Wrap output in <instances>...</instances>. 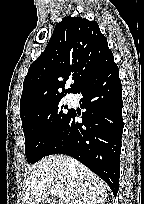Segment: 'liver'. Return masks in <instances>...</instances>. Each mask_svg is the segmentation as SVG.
Returning <instances> with one entry per match:
<instances>
[{
    "mask_svg": "<svg viewBox=\"0 0 144 204\" xmlns=\"http://www.w3.org/2000/svg\"><path fill=\"white\" fill-rule=\"evenodd\" d=\"M23 177V204H40L52 188L62 192L53 204H99L108 195L100 177L65 155L43 158L27 167Z\"/></svg>",
    "mask_w": 144,
    "mask_h": 204,
    "instance_id": "1",
    "label": "liver"
}]
</instances>
